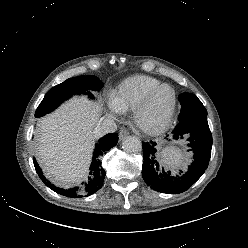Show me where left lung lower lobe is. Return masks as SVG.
Segmentation results:
<instances>
[{"label": "left lung lower lobe", "mask_w": 248, "mask_h": 248, "mask_svg": "<svg viewBox=\"0 0 248 248\" xmlns=\"http://www.w3.org/2000/svg\"><path fill=\"white\" fill-rule=\"evenodd\" d=\"M179 123L173 130V138H183L186 134L193 150L194 162L189 166L183 176H173L171 172L161 169L158 161L154 142H143L144 161L142 176L150 188L155 191L177 194L186 191L205 172L211 156L212 135L208 126L207 116L201 115L195 118H178Z\"/></svg>", "instance_id": "1"}]
</instances>
